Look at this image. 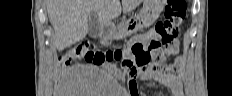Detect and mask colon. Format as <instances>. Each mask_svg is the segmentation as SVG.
Listing matches in <instances>:
<instances>
[{
  "instance_id": "1",
  "label": "colon",
  "mask_w": 232,
  "mask_h": 96,
  "mask_svg": "<svg viewBox=\"0 0 232 96\" xmlns=\"http://www.w3.org/2000/svg\"><path fill=\"white\" fill-rule=\"evenodd\" d=\"M185 0H167L164 20L155 25L146 46L135 44L124 53L121 50H100L88 41L78 43L72 50L59 59L60 68L66 66L71 58L85 60L94 64L121 61L122 66L132 77L141 71L160 70L158 65L150 63V53L154 59L161 61L173 53V43L179 35L186 16Z\"/></svg>"
}]
</instances>
